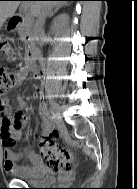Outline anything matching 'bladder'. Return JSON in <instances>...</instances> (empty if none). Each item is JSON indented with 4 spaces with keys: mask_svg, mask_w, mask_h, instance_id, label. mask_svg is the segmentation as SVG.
<instances>
[{
    "mask_svg": "<svg viewBox=\"0 0 137 189\" xmlns=\"http://www.w3.org/2000/svg\"><path fill=\"white\" fill-rule=\"evenodd\" d=\"M18 176L25 181L44 185H52L56 183V175L45 167H36L29 174Z\"/></svg>",
    "mask_w": 137,
    "mask_h": 189,
    "instance_id": "31cf9c89",
    "label": "bladder"
}]
</instances>
